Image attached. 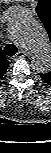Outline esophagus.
I'll return each mask as SVG.
<instances>
[{
	"label": "esophagus",
	"instance_id": "34e87169",
	"mask_svg": "<svg viewBox=\"0 0 51 153\" xmlns=\"http://www.w3.org/2000/svg\"><path fill=\"white\" fill-rule=\"evenodd\" d=\"M25 56H26V53H25L24 51H19V52L16 54L15 57H17V58H23V57H25Z\"/></svg>",
	"mask_w": 51,
	"mask_h": 153
}]
</instances>
